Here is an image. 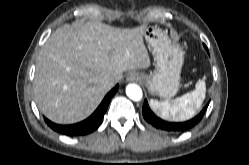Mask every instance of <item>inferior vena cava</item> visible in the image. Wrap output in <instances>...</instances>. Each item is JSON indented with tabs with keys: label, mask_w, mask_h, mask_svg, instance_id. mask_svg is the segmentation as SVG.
I'll use <instances>...</instances> for the list:
<instances>
[{
	"label": "inferior vena cava",
	"mask_w": 249,
	"mask_h": 165,
	"mask_svg": "<svg viewBox=\"0 0 249 165\" xmlns=\"http://www.w3.org/2000/svg\"><path fill=\"white\" fill-rule=\"evenodd\" d=\"M116 81L111 78V77H107L102 81V85L106 88H112L115 85Z\"/></svg>",
	"instance_id": "602c4592"
}]
</instances>
